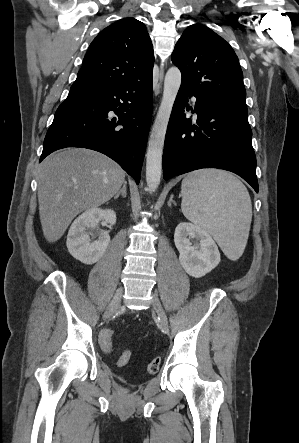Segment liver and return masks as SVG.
Wrapping results in <instances>:
<instances>
[{"mask_svg":"<svg viewBox=\"0 0 299 443\" xmlns=\"http://www.w3.org/2000/svg\"><path fill=\"white\" fill-rule=\"evenodd\" d=\"M125 171L107 156L84 148L49 155L37 172L39 216L45 239L59 240L82 211L119 192Z\"/></svg>","mask_w":299,"mask_h":443,"instance_id":"liver-1","label":"liver"}]
</instances>
